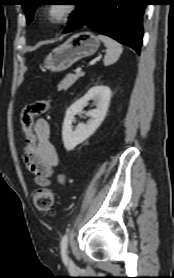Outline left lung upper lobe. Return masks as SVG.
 <instances>
[{
	"mask_svg": "<svg viewBox=\"0 0 174 278\" xmlns=\"http://www.w3.org/2000/svg\"><path fill=\"white\" fill-rule=\"evenodd\" d=\"M42 0H24V2L22 3V7L24 9V12L26 13V18H27V23H31L33 16H34V12L36 10L37 7H39L41 5ZM84 0H73V4L77 5V9L70 15V19L73 20V18L75 17L77 11L80 9L82 3Z\"/></svg>",
	"mask_w": 174,
	"mask_h": 278,
	"instance_id": "obj_1",
	"label": "left lung upper lobe"
}]
</instances>
